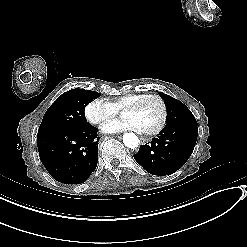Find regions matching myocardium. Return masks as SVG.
I'll list each match as a JSON object with an SVG mask.
<instances>
[{
    "label": "myocardium",
    "mask_w": 247,
    "mask_h": 247,
    "mask_svg": "<svg viewBox=\"0 0 247 247\" xmlns=\"http://www.w3.org/2000/svg\"><path fill=\"white\" fill-rule=\"evenodd\" d=\"M147 99H156L158 100L161 105H162V117H161V122L158 125L157 128L151 130V131H145L146 134L148 135H157L159 134L163 128L166 125L167 122V118H168V105L166 100L159 94H144L141 97L135 99L131 105H129V109L134 111V110H138L139 107L141 106V104L147 100Z\"/></svg>",
    "instance_id": "myocardium-1"
}]
</instances>
